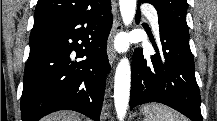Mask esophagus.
Returning <instances> with one entry per match:
<instances>
[{
    "label": "esophagus",
    "instance_id": "esophagus-1",
    "mask_svg": "<svg viewBox=\"0 0 217 121\" xmlns=\"http://www.w3.org/2000/svg\"><path fill=\"white\" fill-rule=\"evenodd\" d=\"M121 29H122L121 22L119 20H115L107 43V55L111 64H113L117 59V53L114 48V42H115L116 35L119 33Z\"/></svg>",
    "mask_w": 217,
    "mask_h": 121
}]
</instances>
